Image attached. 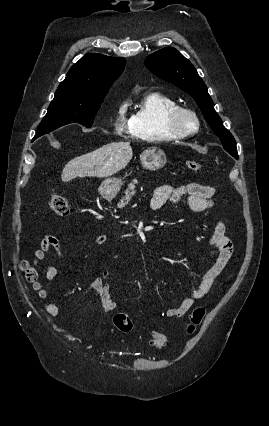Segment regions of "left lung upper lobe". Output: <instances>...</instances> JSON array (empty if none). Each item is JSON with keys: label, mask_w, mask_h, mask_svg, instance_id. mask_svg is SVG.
I'll return each instance as SVG.
<instances>
[{"label": "left lung upper lobe", "mask_w": 269, "mask_h": 426, "mask_svg": "<svg viewBox=\"0 0 269 426\" xmlns=\"http://www.w3.org/2000/svg\"><path fill=\"white\" fill-rule=\"evenodd\" d=\"M145 66L159 78L190 94L214 133L220 138L224 149L238 159L236 141L216 113L207 86L191 62L175 48L167 47L149 55L145 59Z\"/></svg>", "instance_id": "left-lung-upper-lobe-1"}]
</instances>
